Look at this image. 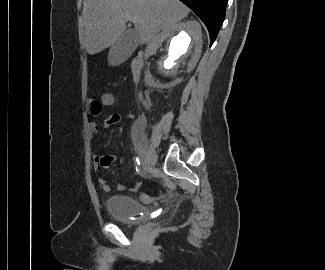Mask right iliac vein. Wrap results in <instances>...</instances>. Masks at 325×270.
<instances>
[{"instance_id": "right-iliac-vein-1", "label": "right iliac vein", "mask_w": 325, "mask_h": 270, "mask_svg": "<svg viewBox=\"0 0 325 270\" xmlns=\"http://www.w3.org/2000/svg\"><path fill=\"white\" fill-rule=\"evenodd\" d=\"M146 162L148 164H152V165L156 164V162H157V154H156V152L154 150L152 151L149 158L146 159Z\"/></svg>"}]
</instances>
